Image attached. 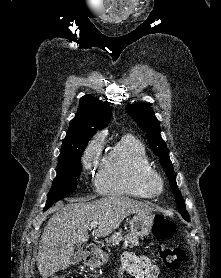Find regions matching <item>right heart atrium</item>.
Returning <instances> with one entry per match:
<instances>
[{
    "mask_svg": "<svg viewBox=\"0 0 221 278\" xmlns=\"http://www.w3.org/2000/svg\"><path fill=\"white\" fill-rule=\"evenodd\" d=\"M103 144V136L97 135L86 146L82 155V164L86 171H90L99 165L102 159Z\"/></svg>",
    "mask_w": 221,
    "mask_h": 278,
    "instance_id": "1",
    "label": "right heart atrium"
}]
</instances>
